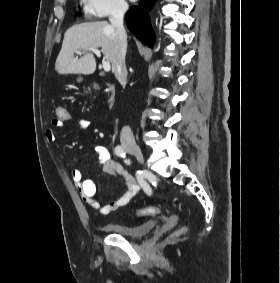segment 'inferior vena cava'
<instances>
[{"instance_id": "inferior-vena-cava-1", "label": "inferior vena cava", "mask_w": 280, "mask_h": 283, "mask_svg": "<svg viewBox=\"0 0 280 283\" xmlns=\"http://www.w3.org/2000/svg\"><path fill=\"white\" fill-rule=\"evenodd\" d=\"M128 10L125 2H119L115 5L109 18L111 25L116 29L119 40V52L115 69V76L120 83L127 79V69L125 56L127 51V35L123 26V17ZM120 141L123 145H135V139L129 126H124L120 133Z\"/></svg>"}]
</instances>
